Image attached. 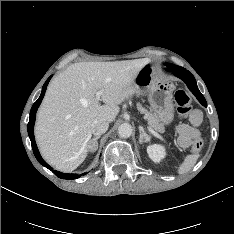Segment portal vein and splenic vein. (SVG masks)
Returning a JSON list of instances; mask_svg holds the SVG:
<instances>
[{
  "instance_id": "portal-vein-and-splenic-vein-1",
  "label": "portal vein and splenic vein",
  "mask_w": 234,
  "mask_h": 234,
  "mask_svg": "<svg viewBox=\"0 0 234 234\" xmlns=\"http://www.w3.org/2000/svg\"><path fill=\"white\" fill-rule=\"evenodd\" d=\"M100 96H101V92H97L96 93V99L99 100ZM149 130L153 135H155L156 137L162 139V137L158 133H156L154 130H152L151 127H149Z\"/></svg>"
}]
</instances>
